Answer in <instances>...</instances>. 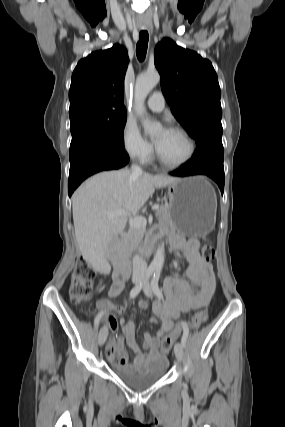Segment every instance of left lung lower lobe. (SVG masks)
<instances>
[{
  "label": "left lung lower lobe",
  "mask_w": 285,
  "mask_h": 427,
  "mask_svg": "<svg viewBox=\"0 0 285 427\" xmlns=\"http://www.w3.org/2000/svg\"><path fill=\"white\" fill-rule=\"evenodd\" d=\"M224 150L222 143H209L197 148L193 158L187 161L176 171L170 172L172 176H189L204 174L211 177L219 186L221 193L224 191Z\"/></svg>",
  "instance_id": "obj_1"
}]
</instances>
